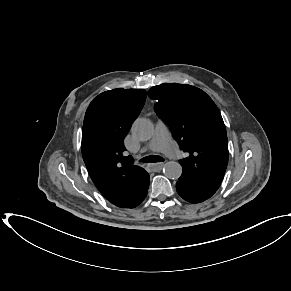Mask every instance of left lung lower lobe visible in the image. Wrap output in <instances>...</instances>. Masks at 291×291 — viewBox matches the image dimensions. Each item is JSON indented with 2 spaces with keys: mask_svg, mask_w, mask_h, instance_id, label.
Instances as JSON below:
<instances>
[{
  "mask_svg": "<svg viewBox=\"0 0 291 291\" xmlns=\"http://www.w3.org/2000/svg\"><path fill=\"white\" fill-rule=\"evenodd\" d=\"M176 189L184 200L194 204L209 199L217 191V189L183 174L176 183Z\"/></svg>",
  "mask_w": 291,
  "mask_h": 291,
  "instance_id": "left-lung-lower-lobe-1",
  "label": "left lung lower lobe"
}]
</instances>
